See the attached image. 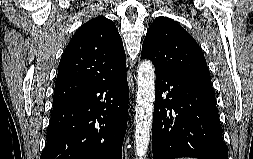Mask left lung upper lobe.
Segmentation results:
<instances>
[{
	"label": "left lung upper lobe",
	"instance_id": "5c2ea615",
	"mask_svg": "<svg viewBox=\"0 0 253 159\" xmlns=\"http://www.w3.org/2000/svg\"><path fill=\"white\" fill-rule=\"evenodd\" d=\"M156 72L211 80L204 55L193 37L178 23L157 17L150 25L141 51Z\"/></svg>",
	"mask_w": 253,
	"mask_h": 159
}]
</instances>
